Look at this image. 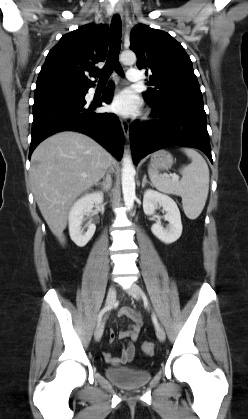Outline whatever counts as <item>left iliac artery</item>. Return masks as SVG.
Returning <instances> with one entry per match:
<instances>
[{
    "instance_id": "left-iliac-artery-1",
    "label": "left iliac artery",
    "mask_w": 248,
    "mask_h": 419,
    "mask_svg": "<svg viewBox=\"0 0 248 419\" xmlns=\"http://www.w3.org/2000/svg\"><path fill=\"white\" fill-rule=\"evenodd\" d=\"M153 322H154L155 326H157L158 322H157V319H156L155 316H153Z\"/></svg>"
}]
</instances>
